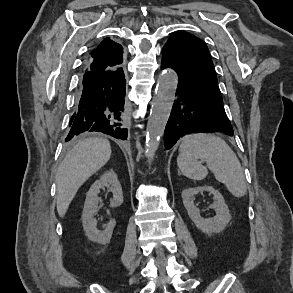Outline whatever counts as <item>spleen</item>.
Here are the masks:
<instances>
[{"instance_id":"3e777b00","label":"spleen","mask_w":293,"mask_h":293,"mask_svg":"<svg viewBox=\"0 0 293 293\" xmlns=\"http://www.w3.org/2000/svg\"><path fill=\"white\" fill-rule=\"evenodd\" d=\"M201 161H205L207 167L203 166ZM177 165L182 174L192 180L204 179L208 168L217 181L225 184L232 195H246L247 188L241 164L229 145L216 135L198 133L185 136L179 147Z\"/></svg>"}]
</instances>
